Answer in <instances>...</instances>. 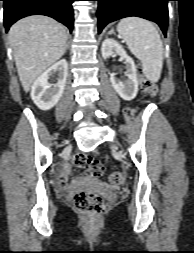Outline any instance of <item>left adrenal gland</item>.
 Segmentation results:
<instances>
[{
    "label": "left adrenal gland",
    "mask_w": 194,
    "mask_h": 253,
    "mask_svg": "<svg viewBox=\"0 0 194 253\" xmlns=\"http://www.w3.org/2000/svg\"><path fill=\"white\" fill-rule=\"evenodd\" d=\"M114 33V29L112 28L109 32H108V35Z\"/></svg>",
    "instance_id": "a2214340"
}]
</instances>
